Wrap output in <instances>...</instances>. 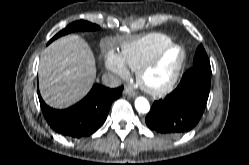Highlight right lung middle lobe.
I'll list each match as a JSON object with an SVG mask.
<instances>
[{"label":"right lung middle lobe","instance_id":"obj_1","mask_svg":"<svg viewBox=\"0 0 249 165\" xmlns=\"http://www.w3.org/2000/svg\"><path fill=\"white\" fill-rule=\"evenodd\" d=\"M99 29V26L98 25H95V24H92L90 22H87V21H83V20H80V21H75L73 23H71L70 25H68L65 29H63L62 31H60L59 33H57L49 42L51 43L53 40H55L56 38L62 36V35H66L70 32H74V31H84V30H87V31H93V30H97Z\"/></svg>","mask_w":249,"mask_h":165}]
</instances>
